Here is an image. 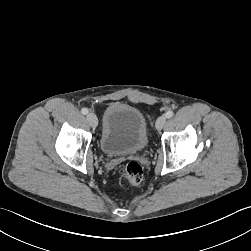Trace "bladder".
I'll return each mask as SVG.
<instances>
[{"instance_id":"bladder-1","label":"bladder","mask_w":251,"mask_h":251,"mask_svg":"<svg viewBox=\"0 0 251 251\" xmlns=\"http://www.w3.org/2000/svg\"><path fill=\"white\" fill-rule=\"evenodd\" d=\"M147 145L148 129L143 113L125 103H110L102 117L101 151L109 156H124L141 152Z\"/></svg>"}]
</instances>
